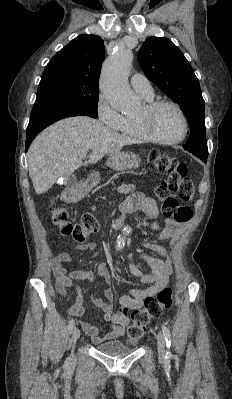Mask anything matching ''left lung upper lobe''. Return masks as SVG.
<instances>
[{
  "mask_svg": "<svg viewBox=\"0 0 232 399\" xmlns=\"http://www.w3.org/2000/svg\"><path fill=\"white\" fill-rule=\"evenodd\" d=\"M138 59L146 77L184 112L190 125V138L183 148L198 158H207L205 102L190 63L170 39L155 36L143 43Z\"/></svg>",
  "mask_w": 232,
  "mask_h": 399,
  "instance_id": "obj_1",
  "label": "left lung upper lobe"
}]
</instances>
